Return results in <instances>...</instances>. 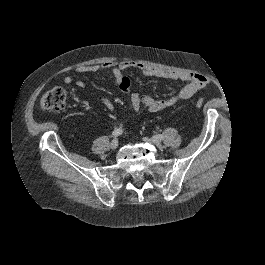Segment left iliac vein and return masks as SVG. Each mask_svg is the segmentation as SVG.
Masks as SVG:
<instances>
[{
  "instance_id": "left-iliac-vein-1",
  "label": "left iliac vein",
  "mask_w": 265,
  "mask_h": 265,
  "mask_svg": "<svg viewBox=\"0 0 265 265\" xmlns=\"http://www.w3.org/2000/svg\"><path fill=\"white\" fill-rule=\"evenodd\" d=\"M144 141H149L150 143H153L154 145L161 147V144L159 143V141H155L152 139H148V138H143Z\"/></svg>"
}]
</instances>
